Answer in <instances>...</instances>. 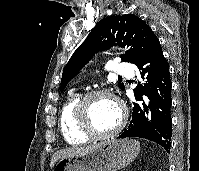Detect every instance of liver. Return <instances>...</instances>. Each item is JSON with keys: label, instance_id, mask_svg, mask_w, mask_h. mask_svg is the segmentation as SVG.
<instances>
[{"label": "liver", "instance_id": "6515ba94", "mask_svg": "<svg viewBox=\"0 0 199 171\" xmlns=\"http://www.w3.org/2000/svg\"><path fill=\"white\" fill-rule=\"evenodd\" d=\"M98 145L99 144L91 145V146H83V147L75 146V147L59 150L56 153H54V155L52 156L50 167L51 168L54 167L55 163L61 159L71 158L74 156H80V155L86 154L94 150Z\"/></svg>", "mask_w": 199, "mask_h": 171}]
</instances>
